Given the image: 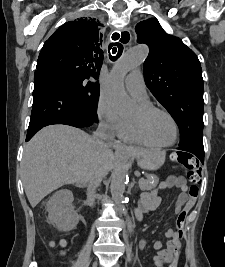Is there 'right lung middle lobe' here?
Returning a JSON list of instances; mask_svg holds the SVG:
<instances>
[{"instance_id":"right-lung-middle-lobe-1","label":"right lung middle lobe","mask_w":225,"mask_h":267,"mask_svg":"<svg viewBox=\"0 0 225 267\" xmlns=\"http://www.w3.org/2000/svg\"><path fill=\"white\" fill-rule=\"evenodd\" d=\"M72 90L78 101L91 114L94 120L97 119V102L99 98V85L87 81L81 76L55 73Z\"/></svg>"}]
</instances>
